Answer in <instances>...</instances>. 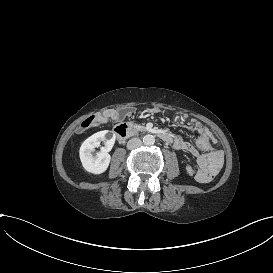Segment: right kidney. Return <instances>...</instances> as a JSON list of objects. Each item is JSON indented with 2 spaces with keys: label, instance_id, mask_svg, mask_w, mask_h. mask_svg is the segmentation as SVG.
<instances>
[{
  "label": "right kidney",
  "instance_id": "ca27d5eb",
  "mask_svg": "<svg viewBox=\"0 0 273 273\" xmlns=\"http://www.w3.org/2000/svg\"><path fill=\"white\" fill-rule=\"evenodd\" d=\"M115 139L116 136L111 131L103 130L91 135L82 143L79 156L86 171L93 174L106 171L111 159L108 152L111 151ZM101 142H104V147H101L100 151L94 155L95 148H98Z\"/></svg>",
  "mask_w": 273,
  "mask_h": 273
}]
</instances>
